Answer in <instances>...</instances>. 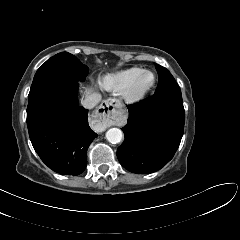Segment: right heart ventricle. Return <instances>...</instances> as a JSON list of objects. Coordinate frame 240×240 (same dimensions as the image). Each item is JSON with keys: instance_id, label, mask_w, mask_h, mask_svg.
I'll return each instance as SVG.
<instances>
[{"instance_id": "obj_1", "label": "right heart ventricle", "mask_w": 240, "mask_h": 240, "mask_svg": "<svg viewBox=\"0 0 240 240\" xmlns=\"http://www.w3.org/2000/svg\"><path fill=\"white\" fill-rule=\"evenodd\" d=\"M143 71V68L131 67L108 74L103 77L101 85L108 91L121 92L124 91Z\"/></svg>"}]
</instances>
